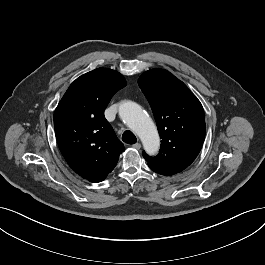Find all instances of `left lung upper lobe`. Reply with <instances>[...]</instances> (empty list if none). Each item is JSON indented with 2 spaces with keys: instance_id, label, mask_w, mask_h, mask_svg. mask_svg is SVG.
<instances>
[{
  "instance_id": "left-lung-upper-lobe-1",
  "label": "left lung upper lobe",
  "mask_w": 265,
  "mask_h": 265,
  "mask_svg": "<svg viewBox=\"0 0 265 265\" xmlns=\"http://www.w3.org/2000/svg\"><path fill=\"white\" fill-rule=\"evenodd\" d=\"M162 139L155 157L143 152L151 170L169 176L183 171L197 157L205 137L204 110L188 87L170 72L152 69L138 80Z\"/></svg>"
}]
</instances>
